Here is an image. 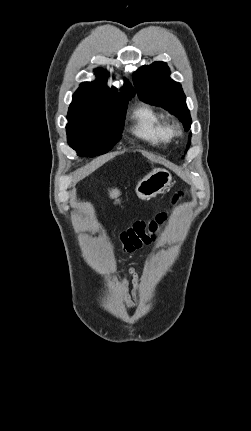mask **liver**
Segmentation results:
<instances>
[{
	"mask_svg": "<svg viewBox=\"0 0 251 431\" xmlns=\"http://www.w3.org/2000/svg\"><path fill=\"white\" fill-rule=\"evenodd\" d=\"M109 195L111 198H116L120 195V191L117 188L111 189L109 190Z\"/></svg>",
	"mask_w": 251,
	"mask_h": 431,
	"instance_id": "6515ba94",
	"label": "liver"
}]
</instances>
